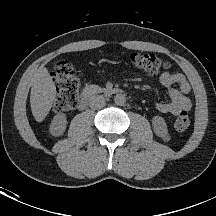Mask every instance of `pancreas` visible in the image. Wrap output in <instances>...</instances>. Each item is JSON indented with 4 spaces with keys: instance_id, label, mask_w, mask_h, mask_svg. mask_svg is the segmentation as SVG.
<instances>
[{
    "instance_id": "obj_1",
    "label": "pancreas",
    "mask_w": 216,
    "mask_h": 216,
    "mask_svg": "<svg viewBox=\"0 0 216 216\" xmlns=\"http://www.w3.org/2000/svg\"><path fill=\"white\" fill-rule=\"evenodd\" d=\"M95 89H96L97 91H99V92H102V91L105 90L104 88H101V87H99V86H95Z\"/></svg>"
}]
</instances>
